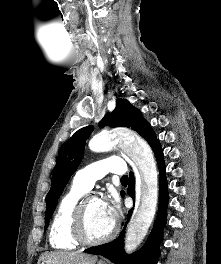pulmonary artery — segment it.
I'll return each instance as SVG.
<instances>
[{
	"label": "pulmonary artery",
	"instance_id": "obj_1",
	"mask_svg": "<svg viewBox=\"0 0 221 264\" xmlns=\"http://www.w3.org/2000/svg\"><path fill=\"white\" fill-rule=\"evenodd\" d=\"M126 171L124 161L119 157H109L91 163L78 170L73 178V183L84 190H90L94 183L108 173L123 175Z\"/></svg>",
	"mask_w": 221,
	"mask_h": 264
}]
</instances>
